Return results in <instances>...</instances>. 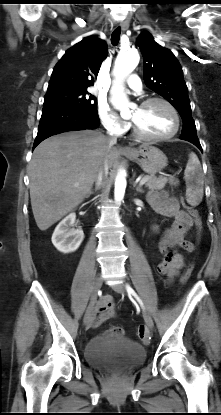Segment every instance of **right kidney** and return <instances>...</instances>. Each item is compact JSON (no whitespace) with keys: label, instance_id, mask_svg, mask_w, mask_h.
<instances>
[{"label":"right kidney","instance_id":"1","mask_svg":"<svg viewBox=\"0 0 221 415\" xmlns=\"http://www.w3.org/2000/svg\"><path fill=\"white\" fill-rule=\"evenodd\" d=\"M75 219V213H70L57 225L52 235L53 245L62 253L76 251L84 239V233L81 228L77 230L70 229Z\"/></svg>","mask_w":221,"mask_h":415}]
</instances>
